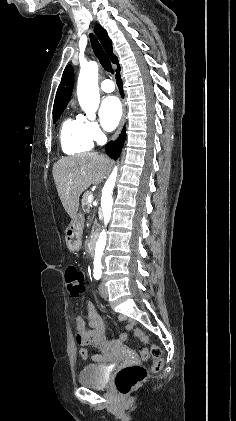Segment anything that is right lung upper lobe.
<instances>
[{
	"label": "right lung upper lobe",
	"instance_id": "cb5924a9",
	"mask_svg": "<svg viewBox=\"0 0 236 421\" xmlns=\"http://www.w3.org/2000/svg\"><path fill=\"white\" fill-rule=\"evenodd\" d=\"M95 33L97 37L99 38L107 55L109 56L111 62L114 64H117L118 69H119L120 67L118 63V58L113 54L112 42L109 39L106 30L102 28L101 25L97 24L95 26ZM73 84H74L73 68L71 65H68L63 72L62 80L56 93L53 110L63 109L67 106L71 93H72Z\"/></svg>",
	"mask_w": 236,
	"mask_h": 421
}]
</instances>
